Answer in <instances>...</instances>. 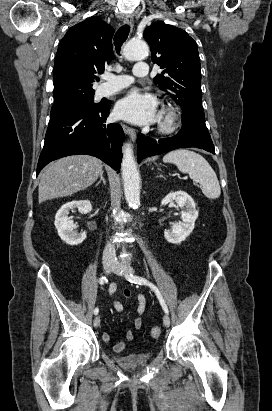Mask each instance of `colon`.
I'll return each mask as SVG.
<instances>
[{
	"instance_id": "colon-1",
	"label": "colon",
	"mask_w": 272,
	"mask_h": 411,
	"mask_svg": "<svg viewBox=\"0 0 272 411\" xmlns=\"http://www.w3.org/2000/svg\"><path fill=\"white\" fill-rule=\"evenodd\" d=\"M160 335H161V329L159 327H153L150 330V337L152 339H158L160 337Z\"/></svg>"
}]
</instances>
